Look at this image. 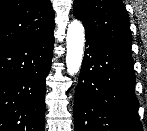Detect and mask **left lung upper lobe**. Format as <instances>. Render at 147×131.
<instances>
[{
    "mask_svg": "<svg viewBox=\"0 0 147 131\" xmlns=\"http://www.w3.org/2000/svg\"><path fill=\"white\" fill-rule=\"evenodd\" d=\"M73 12L83 22L86 36L131 54L129 17L121 0H74Z\"/></svg>",
    "mask_w": 147,
    "mask_h": 131,
    "instance_id": "5c2ea615",
    "label": "left lung upper lobe"
}]
</instances>
